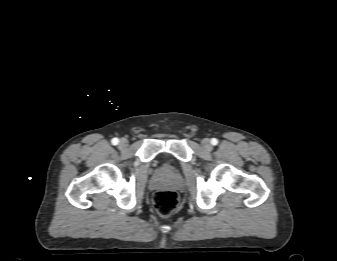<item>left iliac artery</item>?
<instances>
[{
  "instance_id": "1",
  "label": "left iliac artery",
  "mask_w": 337,
  "mask_h": 261,
  "mask_svg": "<svg viewBox=\"0 0 337 261\" xmlns=\"http://www.w3.org/2000/svg\"><path fill=\"white\" fill-rule=\"evenodd\" d=\"M211 144L212 145H217L218 144V140L216 138H212L211 139Z\"/></svg>"
}]
</instances>
